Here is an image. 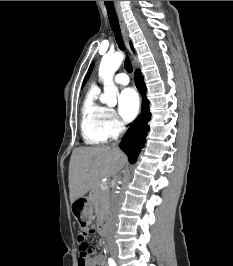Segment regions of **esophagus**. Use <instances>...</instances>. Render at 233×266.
Masks as SVG:
<instances>
[{"mask_svg": "<svg viewBox=\"0 0 233 266\" xmlns=\"http://www.w3.org/2000/svg\"><path fill=\"white\" fill-rule=\"evenodd\" d=\"M115 9H116V13H117V16H118V20H119V23H120V27H121V31H122V35H123L125 44H126L128 50H129V53H130L131 57L134 58L133 51L131 50V47H130V38H129V35H128L127 26H126V23L124 21V18H123V15H122V11H121V8H120V5H119L118 1H115Z\"/></svg>", "mask_w": 233, "mask_h": 266, "instance_id": "1", "label": "esophagus"}]
</instances>
